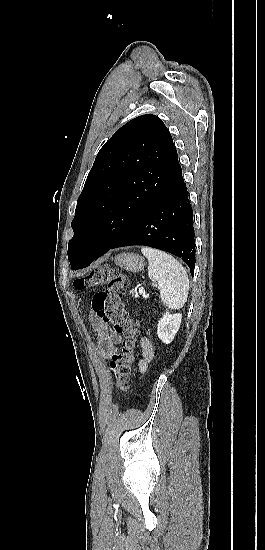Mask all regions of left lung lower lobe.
Listing matches in <instances>:
<instances>
[{
	"label": "left lung lower lobe",
	"mask_w": 265,
	"mask_h": 550,
	"mask_svg": "<svg viewBox=\"0 0 265 550\" xmlns=\"http://www.w3.org/2000/svg\"><path fill=\"white\" fill-rule=\"evenodd\" d=\"M131 245L150 246L172 253L186 262L194 274L193 211L181 168L110 248L88 255L75 270L89 266L110 249Z\"/></svg>",
	"instance_id": "left-lung-lower-lobe-1"
}]
</instances>
